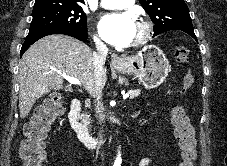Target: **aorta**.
Instances as JSON below:
<instances>
[{
	"instance_id": "1",
	"label": "aorta",
	"mask_w": 227,
	"mask_h": 166,
	"mask_svg": "<svg viewBox=\"0 0 227 166\" xmlns=\"http://www.w3.org/2000/svg\"><path fill=\"white\" fill-rule=\"evenodd\" d=\"M121 163V155L120 153L118 154L114 166H120Z\"/></svg>"
}]
</instances>
